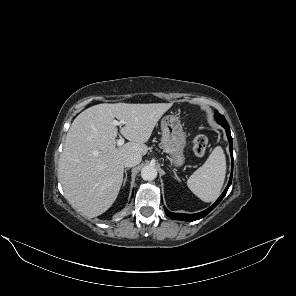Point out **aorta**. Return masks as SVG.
I'll return each mask as SVG.
<instances>
[{
  "label": "aorta",
  "instance_id": "1",
  "mask_svg": "<svg viewBox=\"0 0 296 296\" xmlns=\"http://www.w3.org/2000/svg\"><path fill=\"white\" fill-rule=\"evenodd\" d=\"M141 177L145 181H152L157 177V170L153 166H145L141 171Z\"/></svg>",
  "mask_w": 296,
  "mask_h": 296
}]
</instances>
